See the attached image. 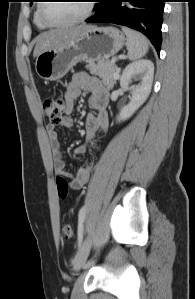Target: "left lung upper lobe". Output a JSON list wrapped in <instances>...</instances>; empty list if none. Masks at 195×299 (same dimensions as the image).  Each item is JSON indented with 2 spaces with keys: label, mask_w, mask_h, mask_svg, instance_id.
Wrapping results in <instances>:
<instances>
[{
  "label": "left lung upper lobe",
  "mask_w": 195,
  "mask_h": 299,
  "mask_svg": "<svg viewBox=\"0 0 195 299\" xmlns=\"http://www.w3.org/2000/svg\"><path fill=\"white\" fill-rule=\"evenodd\" d=\"M30 3L32 4V3H33V1L31 0V1H30Z\"/></svg>",
  "instance_id": "obj_1"
}]
</instances>
